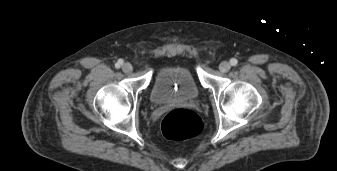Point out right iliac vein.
I'll return each instance as SVG.
<instances>
[{
	"mask_svg": "<svg viewBox=\"0 0 337 171\" xmlns=\"http://www.w3.org/2000/svg\"><path fill=\"white\" fill-rule=\"evenodd\" d=\"M122 70H123V72H125V73H130V72H132L133 67H132V65H131L130 63L127 62V63H124V64H123Z\"/></svg>",
	"mask_w": 337,
	"mask_h": 171,
	"instance_id": "63e3f726",
	"label": "right iliac vein"
}]
</instances>
